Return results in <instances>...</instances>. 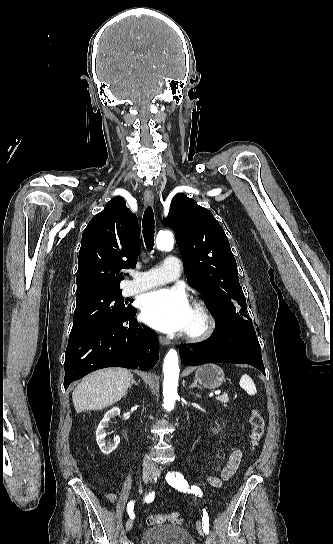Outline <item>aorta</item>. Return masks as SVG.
Masks as SVG:
<instances>
[{
	"mask_svg": "<svg viewBox=\"0 0 333 544\" xmlns=\"http://www.w3.org/2000/svg\"><path fill=\"white\" fill-rule=\"evenodd\" d=\"M173 235L169 231H161L156 238L157 248L166 250L173 246ZM163 406L166 410H172L177 399V386L179 378V363L176 350L170 349L166 354L163 364Z\"/></svg>",
	"mask_w": 333,
	"mask_h": 544,
	"instance_id": "aorta-1",
	"label": "aorta"
}]
</instances>
